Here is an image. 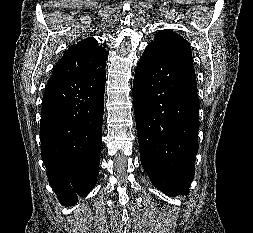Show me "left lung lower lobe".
Masks as SVG:
<instances>
[{
  "instance_id": "1",
  "label": "left lung lower lobe",
  "mask_w": 253,
  "mask_h": 233,
  "mask_svg": "<svg viewBox=\"0 0 253 233\" xmlns=\"http://www.w3.org/2000/svg\"><path fill=\"white\" fill-rule=\"evenodd\" d=\"M192 62L148 45L133 81L140 160L166 195L187 194L195 173L199 100Z\"/></svg>"
}]
</instances>
